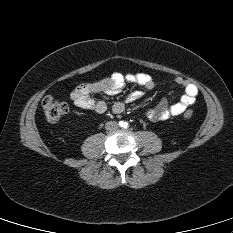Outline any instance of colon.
<instances>
[{"label":"colon","mask_w":233,"mask_h":233,"mask_svg":"<svg viewBox=\"0 0 233 233\" xmlns=\"http://www.w3.org/2000/svg\"><path fill=\"white\" fill-rule=\"evenodd\" d=\"M42 107L47 120L50 122L58 121L69 111V106L66 101L52 96H47L43 99ZM193 114L194 113L192 110H187L184 112L183 116L186 119H189L193 116Z\"/></svg>","instance_id":"1"}]
</instances>
